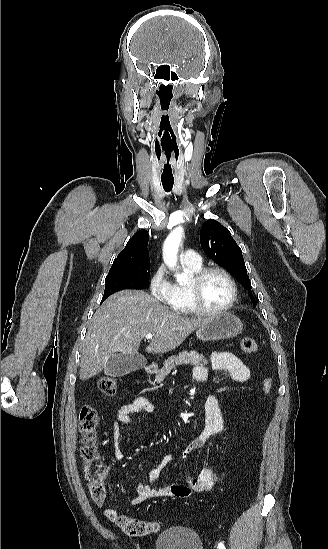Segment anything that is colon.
Returning a JSON list of instances; mask_svg holds the SVG:
<instances>
[{"label":"colon","instance_id":"colon-1","mask_svg":"<svg viewBox=\"0 0 328 549\" xmlns=\"http://www.w3.org/2000/svg\"><path fill=\"white\" fill-rule=\"evenodd\" d=\"M241 350L246 354L258 351L257 341L250 336H243L240 340ZM271 378L264 379L262 389L268 394L272 389ZM98 389L107 396H112L117 391V380L110 375H104L97 382ZM99 423L97 411L89 405H84L79 412V432L81 434L80 453L83 460L85 478L88 482L92 499L96 503H102L106 498L105 478L106 470L99 462L96 443V428ZM108 517L115 520L118 527L128 535L144 536L158 530L157 522H148L135 519L126 515L117 516L109 512Z\"/></svg>","mask_w":328,"mask_h":549}]
</instances>
